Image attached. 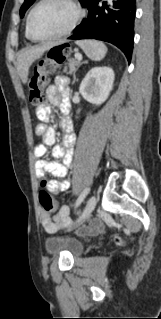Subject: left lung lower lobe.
<instances>
[{
	"mask_svg": "<svg viewBox=\"0 0 161 319\" xmlns=\"http://www.w3.org/2000/svg\"><path fill=\"white\" fill-rule=\"evenodd\" d=\"M90 0L88 17L75 28L68 39H98L117 46L130 62L133 40L136 0Z\"/></svg>",
	"mask_w": 161,
	"mask_h": 319,
	"instance_id": "left-lung-lower-lobe-1",
	"label": "left lung lower lobe"
}]
</instances>
